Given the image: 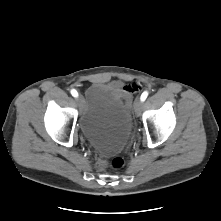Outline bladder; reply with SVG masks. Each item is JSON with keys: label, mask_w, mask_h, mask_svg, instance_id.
Instances as JSON below:
<instances>
[{"label": "bladder", "mask_w": 221, "mask_h": 221, "mask_svg": "<svg viewBox=\"0 0 221 221\" xmlns=\"http://www.w3.org/2000/svg\"><path fill=\"white\" fill-rule=\"evenodd\" d=\"M79 127L84 138L100 153L117 154L132 134L130 107L111 86L93 82L83 97Z\"/></svg>", "instance_id": "bladder-1"}]
</instances>
